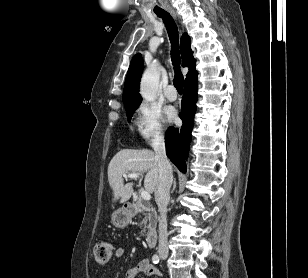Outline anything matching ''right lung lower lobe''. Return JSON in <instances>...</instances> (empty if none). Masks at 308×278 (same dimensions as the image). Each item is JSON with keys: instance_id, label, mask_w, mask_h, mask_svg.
Here are the masks:
<instances>
[{"instance_id": "1", "label": "right lung lower lobe", "mask_w": 308, "mask_h": 278, "mask_svg": "<svg viewBox=\"0 0 308 278\" xmlns=\"http://www.w3.org/2000/svg\"><path fill=\"white\" fill-rule=\"evenodd\" d=\"M197 77L185 83L182 98V111L179 117L183 121L180 129L169 127L165 136L166 154L168 158L179 168L186 172L185 158H187L193 128V118L197 101Z\"/></svg>"}]
</instances>
